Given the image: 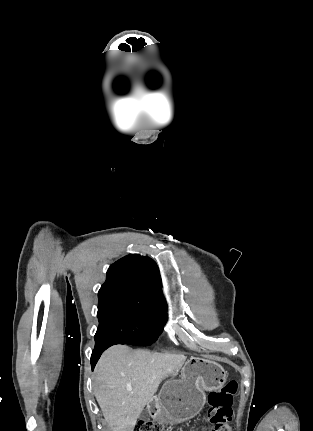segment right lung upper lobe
<instances>
[{"label":"right lung upper lobe","instance_id":"cb5924a9","mask_svg":"<svg viewBox=\"0 0 313 431\" xmlns=\"http://www.w3.org/2000/svg\"><path fill=\"white\" fill-rule=\"evenodd\" d=\"M161 277L156 263L149 257L128 255L113 263L98 296L118 294L166 308L161 293Z\"/></svg>","mask_w":313,"mask_h":431}]
</instances>
